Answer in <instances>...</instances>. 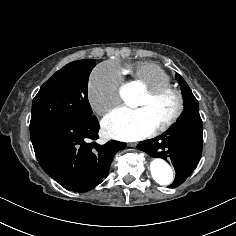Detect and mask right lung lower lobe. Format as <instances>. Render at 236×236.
<instances>
[{"mask_svg":"<svg viewBox=\"0 0 236 236\" xmlns=\"http://www.w3.org/2000/svg\"><path fill=\"white\" fill-rule=\"evenodd\" d=\"M96 116L59 118L30 126L31 141L43 170L64 188L85 192L108 175L114 155L126 143L99 145Z\"/></svg>","mask_w":236,"mask_h":236,"instance_id":"obj_1","label":"right lung lower lobe"}]
</instances>
